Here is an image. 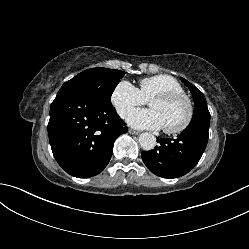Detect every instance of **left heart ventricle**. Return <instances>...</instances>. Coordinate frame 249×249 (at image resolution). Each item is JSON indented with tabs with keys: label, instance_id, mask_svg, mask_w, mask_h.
I'll use <instances>...</instances> for the list:
<instances>
[{
	"label": "left heart ventricle",
	"instance_id": "obj_1",
	"mask_svg": "<svg viewBox=\"0 0 249 249\" xmlns=\"http://www.w3.org/2000/svg\"><path fill=\"white\" fill-rule=\"evenodd\" d=\"M149 107L158 113L163 122V127H177L187 115V106L183 100L172 102L151 101Z\"/></svg>",
	"mask_w": 249,
	"mask_h": 249
}]
</instances>
